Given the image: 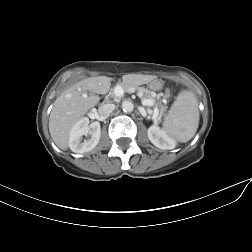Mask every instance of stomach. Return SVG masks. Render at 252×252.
<instances>
[{
    "instance_id": "obj_1",
    "label": "stomach",
    "mask_w": 252,
    "mask_h": 252,
    "mask_svg": "<svg viewBox=\"0 0 252 252\" xmlns=\"http://www.w3.org/2000/svg\"><path fill=\"white\" fill-rule=\"evenodd\" d=\"M149 87L152 89V90H160L162 89L163 87V83L159 80H152L150 83H149Z\"/></svg>"
}]
</instances>
